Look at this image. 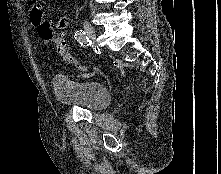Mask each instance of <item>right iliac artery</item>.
I'll use <instances>...</instances> for the list:
<instances>
[{
    "label": "right iliac artery",
    "mask_w": 221,
    "mask_h": 174,
    "mask_svg": "<svg viewBox=\"0 0 221 174\" xmlns=\"http://www.w3.org/2000/svg\"><path fill=\"white\" fill-rule=\"evenodd\" d=\"M74 38L77 40V42L83 46V47H88L90 45V40L86 33L83 30H78L75 32ZM99 71L98 67L94 68V71L92 72H84L81 74L82 77H92L95 74H97Z\"/></svg>",
    "instance_id": "right-iliac-artery-1"
}]
</instances>
